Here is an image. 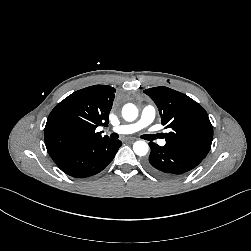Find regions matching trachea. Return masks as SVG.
Masks as SVG:
<instances>
[{
    "mask_svg": "<svg viewBox=\"0 0 251 251\" xmlns=\"http://www.w3.org/2000/svg\"><path fill=\"white\" fill-rule=\"evenodd\" d=\"M143 137H144V139H146V140H154L157 136H155V135H144ZM111 138H112V139H117V138H118V134L113 133V134L111 135Z\"/></svg>",
    "mask_w": 251,
    "mask_h": 251,
    "instance_id": "trachea-1",
    "label": "trachea"
}]
</instances>
